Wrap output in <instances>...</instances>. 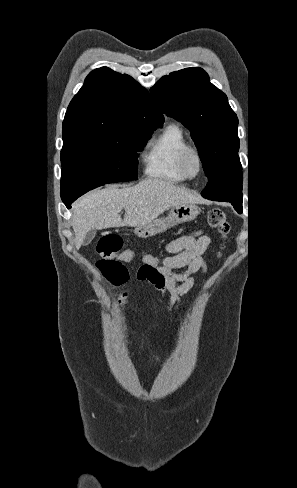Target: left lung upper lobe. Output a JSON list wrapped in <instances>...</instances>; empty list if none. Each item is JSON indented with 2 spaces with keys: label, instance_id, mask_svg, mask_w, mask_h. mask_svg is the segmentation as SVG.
<instances>
[{
  "label": "left lung upper lobe",
  "instance_id": "left-lung-upper-lobe-1",
  "mask_svg": "<svg viewBox=\"0 0 297 488\" xmlns=\"http://www.w3.org/2000/svg\"><path fill=\"white\" fill-rule=\"evenodd\" d=\"M150 92L163 113L190 130L208 177L202 196L242 209L238 118L226 95L198 67L163 76Z\"/></svg>",
  "mask_w": 297,
  "mask_h": 488
}]
</instances>
